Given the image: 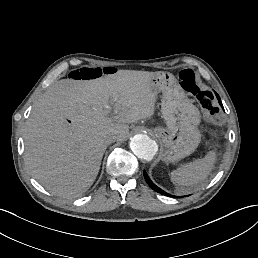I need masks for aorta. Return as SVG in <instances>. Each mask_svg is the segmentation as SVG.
I'll list each match as a JSON object with an SVG mask.
<instances>
[{
	"label": "aorta",
	"mask_w": 258,
	"mask_h": 258,
	"mask_svg": "<svg viewBox=\"0 0 258 258\" xmlns=\"http://www.w3.org/2000/svg\"><path fill=\"white\" fill-rule=\"evenodd\" d=\"M132 152L140 159L150 161L158 151L157 143L146 134H137L130 141Z\"/></svg>",
	"instance_id": "1"
}]
</instances>
